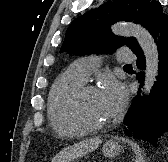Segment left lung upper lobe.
<instances>
[{
	"label": "left lung upper lobe",
	"instance_id": "left-lung-upper-lobe-1",
	"mask_svg": "<svg viewBox=\"0 0 168 162\" xmlns=\"http://www.w3.org/2000/svg\"><path fill=\"white\" fill-rule=\"evenodd\" d=\"M156 0H111L77 17L68 27L60 53L75 55L113 53L123 45L132 51L139 47L134 37H118L110 25L118 21L141 24L147 30L165 15Z\"/></svg>",
	"mask_w": 168,
	"mask_h": 162
}]
</instances>
